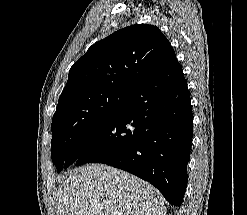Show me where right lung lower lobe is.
Here are the masks:
<instances>
[{
    "label": "right lung lower lobe",
    "mask_w": 247,
    "mask_h": 215,
    "mask_svg": "<svg viewBox=\"0 0 247 215\" xmlns=\"http://www.w3.org/2000/svg\"><path fill=\"white\" fill-rule=\"evenodd\" d=\"M192 136L191 99L174 53L134 90L120 112L79 139L67 161L125 170L154 185L171 205L180 206Z\"/></svg>",
    "instance_id": "98d812e1"
}]
</instances>
